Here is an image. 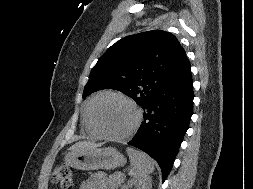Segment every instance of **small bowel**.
<instances>
[{"label":"small bowel","instance_id":"small-bowel-1","mask_svg":"<svg viewBox=\"0 0 253 189\" xmlns=\"http://www.w3.org/2000/svg\"><path fill=\"white\" fill-rule=\"evenodd\" d=\"M82 189H111V186L107 176L102 172H97L83 184Z\"/></svg>","mask_w":253,"mask_h":189}]
</instances>
